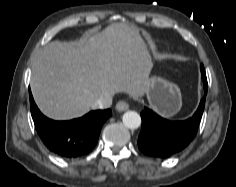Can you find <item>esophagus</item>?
<instances>
[{"label": "esophagus", "mask_w": 236, "mask_h": 187, "mask_svg": "<svg viewBox=\"0 0 236 187\" xmlns=\"http://www.w3.org/2000/svg\"><path fill=\"white\" fill-rule=\"evenodd\" d=\"M115 108L117 111L123 112V111L128 110L129 104L125 101H119V102H117Z\"/></svg>", "instance_id": "obj_1"}]
</instances>
